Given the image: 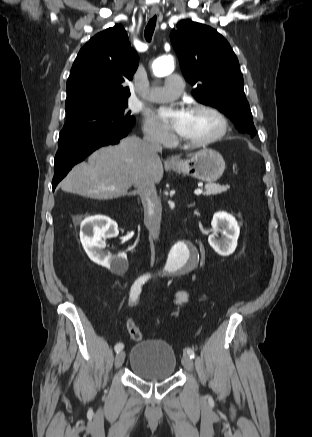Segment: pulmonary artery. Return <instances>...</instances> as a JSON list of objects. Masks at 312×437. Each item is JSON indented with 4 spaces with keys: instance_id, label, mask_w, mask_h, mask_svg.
Masks as SVG:
<instances>
[{
    "instance_id": "pulmonary-artery-1",
    "label": "pulmonary artery",
    "mask_w": 312,
    "mask_h": 437,
    "mask_svg": "<svg viewBox=\"0 0 312 437\" xmlns=\"http://www.w3.org/2000/svg\"><path fill=\"white\" fill-rule=\"evenodd\" d=\"M184 81L181 76L173 74L166 78L163 86L153 87L144 97L152 102H164L175 99L183 91Z\"/></svg>"
}]
</instances>
